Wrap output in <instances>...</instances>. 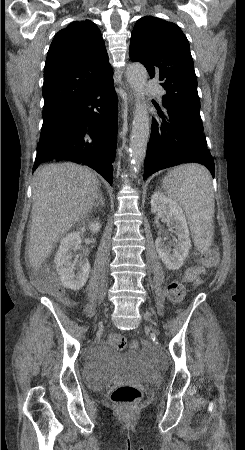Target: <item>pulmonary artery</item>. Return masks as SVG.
<instances>
[{
    "label": "pulmonary artery",
    "instance_id": "e3ab8cb5",
    "mask_svg": "<svg viewBox=\"0 0 245 450\" xmlns=\"http://www.w3.org/2000/svg\"><path fill=\"white\" fill-rule=\"evenodd\" d=\"M145 85H146V90H147V92H151V91H155V92H157L158 93V95L159 96H161L162 95V92L161 91H159L157 88V84L154 82V81H152V80H148L146 83H145Z\"/></svg>",
    "mask_w": 245,
    "mask_h": 450
}]
</instances>
